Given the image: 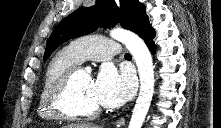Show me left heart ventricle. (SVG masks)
<instances>
[{
	"label": "left heart ventricle",
	"mask_w": 221,
	"mask_h": 128,
	"mask_svg": "<svg viewBox=\"0 0 221 128\" xmlns=\"http://www.w3.org/2000/svg\"><path fill=\"white\" fill-rule=\"evenodd\" d=\"M67 104L75 111H91L99 107L91 88L90 74L83 69L76 75Z\"/></svg>",
	"instance_id": "1"
}]
</instances>
